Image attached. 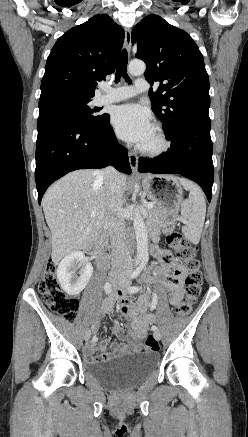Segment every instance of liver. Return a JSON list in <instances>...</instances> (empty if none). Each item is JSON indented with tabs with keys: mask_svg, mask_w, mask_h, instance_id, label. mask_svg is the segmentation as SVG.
Instances as JSON below:
<instances>
[{
	"mask_svg": "<svg viewBox=\"0 0 248 437\" xmlns=\"http://www.w3.org/2000/svg\"><path fill=\"white\" fill-rule=\"evenodd\" d=\"M122 196L127 177L119 173ZM107 194L98 170L71 172L53 184L45 193L42 206L52 234V261L92 245L104 226ZM96 212L95 217L90 213Z\"/></svg>",
	"mask_w": 248,
	"mask_h": 437,
	"instance_id": "1",
	"label": "liver"
}]
</instances>
